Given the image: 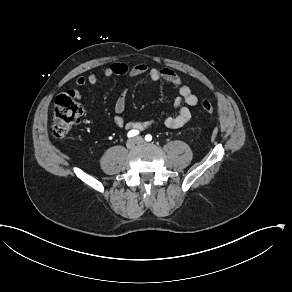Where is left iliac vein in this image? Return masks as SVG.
<instances>
[{
	"label": "left iliac vein",
	"instance_id": "4c4485c4",
	"mask_svg": "<svg viewBox=\"0 0 292 292\" xmlns=\"http://www.w3.org/2000/svg\"><path fill=\"white\" fill-rule=\"evenodd\" d=\"M137 140H138V144H142L144 142L143 138L141 137H137Z\"/></svg>",
	"mask_w": 292,
	"mask_h": 292
}]
</instances>
